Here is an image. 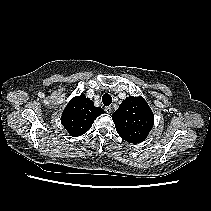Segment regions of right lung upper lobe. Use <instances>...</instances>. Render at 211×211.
I'll return each mask as SVG.
<instances>
[{
  "instance_id": "cb5924a9",
  "label": "right lung upper lobe",
  "mask_w": 211,
  "mask_h": 211,
  "mask_svg": "<svg viewBox=\"0 0 211 211\" xmlns=\"http://www.w3.org/2000/svg\"><path fill=\"white\" fill-rule=\"evenodd\" d=\"M103 113L102 108L95 107L93 101L81 94L67 104L62 113L61 122L70 136L77 137L86 133L94 120Z\"/></svg>"
}]
</instances>
